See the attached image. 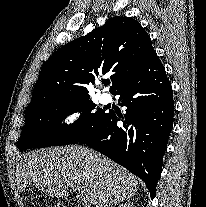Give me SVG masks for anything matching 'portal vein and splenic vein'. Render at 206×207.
I'll list each match as a JSON object with an SVG mask.
<instances>
[{
	"label": "portal vein and splenic vein",
	"mask_w": 206,
	"mask_h": 207,
	"mask_svg": "<svg viewBox=\"0 0 206 207\" xmlns=\"http://www.w3.org/2000/svg\"><path fill=\"white\" fill-rule=\"evenodd\" d=\"M70 187L75 191L78 192V197L83 200L86 201L88 199V196L85 194V192L78 186L75 185H70Z\"/></svg>",
	"instance_id": "portal-vein-and-splenic-vein-1"
}]
</instances>
